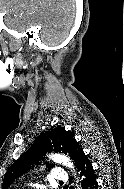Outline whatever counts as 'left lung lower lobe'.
<instances>
[{"instance_id":"left-lung-lower-lobe-1","label":"left lung lower lobe","mask_w":124,"mask_h":189,"mask_svg":"<svg viewBox=\"0 0 124 189\" xmlns=\"http://www.w3.org/2000/svg\"><path fill=\"white\" fill-rule=\"evenodd\" d=\"M78 171L80 172V177L82 178L81 186L83 189H97V177L92 166V162L89 160L88 156L84 155L81 157L78 165Z\"/></svg>"}]
</instances>
